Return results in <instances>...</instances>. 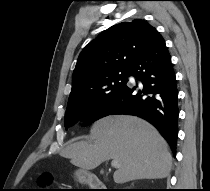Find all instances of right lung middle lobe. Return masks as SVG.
<instances>
[{"label": "right lung middle lobe", "mask_w": 210, "mask_h": 191, "mask_svg": "<svg viewBox=\"0 0 210 191\" xmlns=\"http://www.w3.org/2000/svg\"><path fill=\"white\" fill-rule=\"evenodd\" d=\"M128 76L129 69L107 72L97 78L88 90L69 98L64 119L65 128L68 129L80 119L87 124L99 119L110 99L127 84Z\"/></svg>", "instance_id": "dd1d6c3e"}]
</instances>
